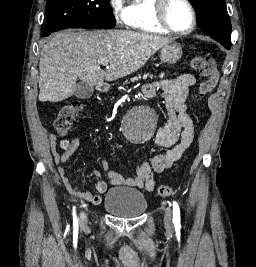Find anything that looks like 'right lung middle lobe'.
<instances>
[{"label": "right lung middle lobe", "mask_w": 256, "mask_h": 267, "mask_svg": "<svg viewBox=\"0 0 256 267\" xmlns=\"http://www.w3.org/2000/svg\"><path fill=\"white\" fill-rule=\"evenodd\" d=\"M110 0H48L44 34L66 28H112L115 17Z\"/></svg>", "instance_id": "1"}]
</instances>
